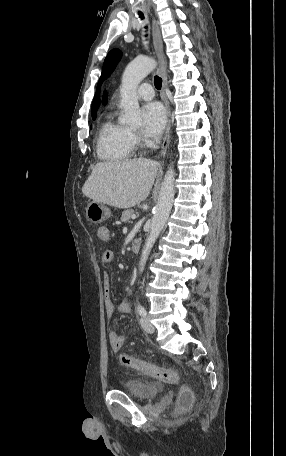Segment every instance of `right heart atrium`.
Segmentation results:
<instances>
[{"mask_svg":"<svg viewBox=\"0 0 286 456\" xmlns=\"http://www.w3.org/2000/svg\"><path fill=\"white\" fill-rule=\"evenodd\" d=\"M133 137L135 142H140V137L137 134L133 133Z\"/></svg>","mask_w":286,"mask_h":456,"instance_id":"1","label":"right heart atrium"}]
</instances>
